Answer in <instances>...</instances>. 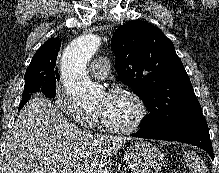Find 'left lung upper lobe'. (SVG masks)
I'll return each mask as SVG.
<instances>
[{"instance_id":"5c2ea615","label":"left lung upper lobe","mask_w":219,"mask_h":173,"mask_svg":"<svg viewBox=\"0 0 219 173\" xmlns=\"http://www.w3.org/2000/svg\"><path fill=\"white\" fill-rule=\"evenodd\" d=\"M111 48L120 80L150 110L139 131L159 133L188 119L203 117L174 45L156 26L130 21L113 34Z\"/></svg>"}]
</instances>
